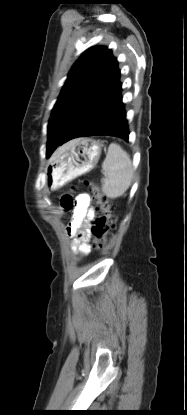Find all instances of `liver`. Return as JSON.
<instances>
[{
    "mask_svg": "<svg viewBox=\"0 0 187 415\" xmlns=\"http://www.w3.org/2000/svg\"><path fill=\"white\" fill-rule=\"evenodd\" d=\"M72 144V141L66 143L65 145L59 147L54 154L52 155V159L56 158L57 156H59L61 153H63L65 150H67Z\"/></svg>",
    "mask_w": 187,
    "mask_h": 415,
    "instance_id": "1",
    "label": "liver"
}]
</instances>
